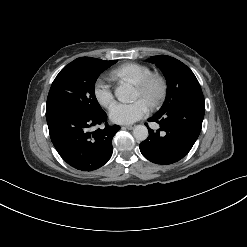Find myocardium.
Wrapping results in <instances>:
<instances>
[{
  "label": "myocardium",
  "instance_id": "f54148a6",
  "mask_svg": "<svg viewBox=\"0 0 247 247\" xmlns=\"http://www.w3.org/2000/svg\"><path fill=\"white\" fill-rule=\"evenodd\" d=\"M140 94L151 106L159 105L167 92V80L158 73H151L142 81L136 83Z\"/></svg>",
  "mask_w": 247,
  "mask_h": 247
}]
</instances>
